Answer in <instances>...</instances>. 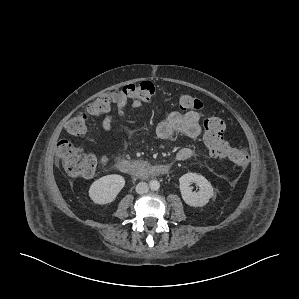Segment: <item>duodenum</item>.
Masks as SVG:
<instances>
[{
  "instance_id": "duodenum-1",
  "label": "duodenum",
  "mask_w": 299,
  "mask_h": 299,
  "mask_svg": "<svg viewBox=\"0 0 299 299\" xmlns=\"http://www.w3.org/2000/svg\"><path fill=\"white\" fill-rule=\"evenodd\" d=\"M117 169L122 174L140 178L161 176L169 172L167 165H150L143 161H129L125 159L117 162Z\"/></svg>"
}]
</instances>
